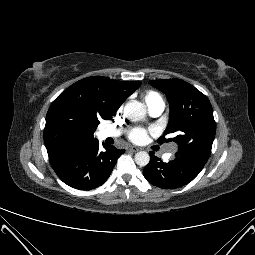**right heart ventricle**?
<instances>
[{
    "instance_id": "e07e8e85",
    "label": "right heart ventricle",
    "mask_w": 255,
    "mask_h": 255,
    "mask_svg": "<svg viewBox=\"0 0 255 255\" xmlns=\"http://www.w3.org/2000/svg\"><path fill=\"white\" fill-rule=\"evenodd\" d=\"M143 99H144L145 103L147 104L148 108H151L152 106H154L158 103H164L160 94L153 90L146 91L143 94Z\"/></svg>"
}]
</instances>
